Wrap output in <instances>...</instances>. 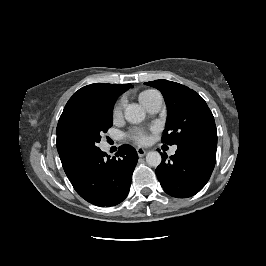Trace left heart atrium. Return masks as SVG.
Returning <instances> with one entry per match:
<instances>
[{"instance_id":"obj_1","label":"left heart atrium","mask_w":266,"mask_h":266,"mask_svg":"<svg viewBox=\"0 0 266 266\" xmlns=\"http://www.w3.org/2000/svg\"><path fill=\"white\" fill-rule=\"evenodd\" d=\"M130 138L139 144H146L149 141V137L143 129H134L130 133Z\"/></svg>"}]
</instances>
